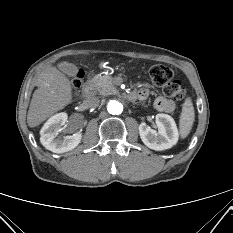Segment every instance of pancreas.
<instances>
[{
    "instance_id": "cf45deb5",
    "label": "pancreas",
    "mask_w": 233,
    "mask_h": 233,
    "mask_svg": "<svg viewBox=\"0 0 233 233\" xmlns=\"http://www.w3.org/2000/svg\"><path fill=\"white\" fill-rule=\"evenodd\" d=\"M90 85L94 92L101 95H110L116 91L113 78L110 76L95 75L90 80Z\"/></svg>"
}]
</instances>
